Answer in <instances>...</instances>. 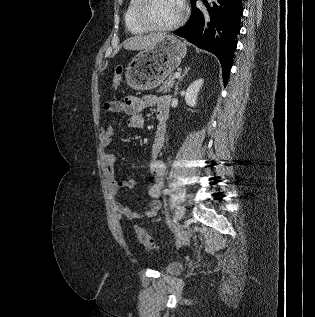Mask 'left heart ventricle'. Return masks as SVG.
Wrapping results in <instances>:
<instances>
[{
  "label": "left heart ventricle",
  "instance_id": "left-heart-ventricle-1",
  "mask_svg": "<svg viewBox=\"0 0 315 317\" xmlns=\"http://www.w3.org/2000/svg\"><path fill=\"white\" fill-rule=\"evenodd\" d=\"M181 14L178 0H151L146 10L147 19L155 25H169Z\"/></svg>",
  "mask_w": 315,
  "mask_h": 317
}]
</instances>
